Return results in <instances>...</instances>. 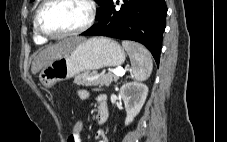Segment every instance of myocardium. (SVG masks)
I'll list each match as a JSON object with an SVG mask.
<instances>
[{"label": "myocardium", "instance_id": "obj_1", "mask_svg": "<svg viewBox=\"0 0 227 142\" xmlns=\"http://www.w3.org/2000/svg\"><path fill=\"white\" fill-rule=\"evenodd\" d=\"M56 0H44L41 5L38 7L36 14H35V29L37 31V33L39 35H41L42 37L45 38H52V39H58V38H64V37H68V36H73V35H77L80 34L84 31H86L87 29H89L95 19H96V15H97V6L94 0H81L88 8V18L86 20V22L80 26L79 28L69 31V32H64V33H50L47 32L46 30H44V28L42 27L41 24V15L44 11V9L51 4L52 2H54Z\"/></svg>", "mask_w": 227, "mask_h": 142}]
</instances>
